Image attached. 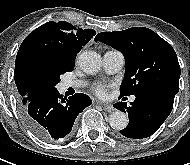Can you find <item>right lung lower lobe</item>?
<instances>
[{
    "mask_svg": "<svg viewBox=\"0 0 190 165\" xmlns=\"http://www.w3.org/2000/svg\"><path fill=\"white\" fill-rule=\"evenodd\" d=\"M90 105L86 94L76 93L67 98L53 89L35 95L21 107V116L38 138L55 141L70 134L78 114Z\"/></svg>",
    "mask_w": 190,
    "mask_h": 165,
    "instance_id": "98d812e1",
    "label": "right lung lower lobe"
}]
</instances>
